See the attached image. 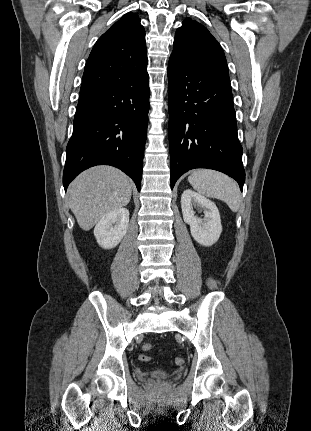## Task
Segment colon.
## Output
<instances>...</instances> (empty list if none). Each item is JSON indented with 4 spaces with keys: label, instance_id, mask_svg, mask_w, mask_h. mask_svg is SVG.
I'll use <instances>...</instances> for the list:
<instances>
[{
    "label": "colon",
    "instance_id": "colon-1",
    "mask_svg": "<svg viewBox=\"0 0 311 431\" xmlns=\"http://www.w3.org/2000/svg\"><path fill=\"white\" fill-rule=\"evenodd\" d=\"M142 349H143V351H150L152 349V345L151 344H144ZM139 360L142 362H149L151 360V358L148 355L141 354L139 356ZM174 361H175L176 365H183L185 362L183 357H176Z\"/></svg>",
    "mask_w": 311,
    "mask_h": 431
}]
</instances>
